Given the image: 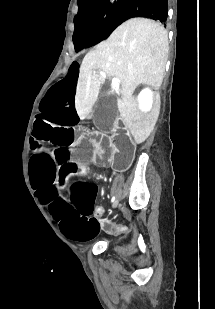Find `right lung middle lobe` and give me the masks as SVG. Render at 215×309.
I'll list each match as a JSON object with an SVG mask.
<instances>
[{
	"mask_svg": "<svg viewBox=\"0 0 215 309\" xmlns=\"http://www.w3.org/2000/svg\"><path fill=\"white\" fill-rule=\"evenodd\" d=\"M132 0H78L73 43L75 51L104 40L117 27L123 10Z\"/></svg>",
	"mask_w": 215,
	"mask_h": 309,
	"instance_id": "1",
	"label": "right lung middle lobe"
}]
</instances>
